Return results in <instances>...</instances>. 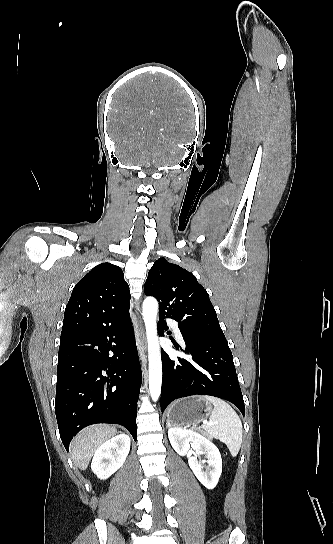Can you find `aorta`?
<instances>
[{
  "label": "aorta",
  "instance_id": "aorta-1",
  "mask_svg": "<svg viewBox=\"0 0 333 544\" xmlns=\"http://www.w3.org/2000/svg\"><path fill=\"white\" fill-rule=\"evenodd\" d=\"M157 311V300L147 297L143 302V319L148 343L149 391L154 402L160 396L162 385V361L156 326Z\"/></svg>",
  "mask_w": 333,
  "mask_h": 544
}]
</instances>
